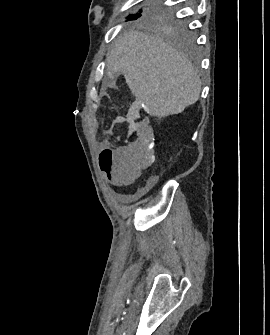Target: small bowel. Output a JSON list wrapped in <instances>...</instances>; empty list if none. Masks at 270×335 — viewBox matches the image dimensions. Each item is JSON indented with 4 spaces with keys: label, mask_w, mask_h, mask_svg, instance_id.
Here are the masks:
<instances>
[{
    "label": "small bowel",
    "mask_w": 270,
    "mask_h": 335,
    "mask_svg": "<svg viewBox=\"0 0 270 335\" xmlns=\"http://www.w3.org/2000/svg\"><path fill=\"white\" fill-rule=\"evenodd\" d=\"M127 134H137L136 145H128L120 149H113V145H100L104 154H94V161L99 165V173L104 178H137L146 165L151 164L149 156H158L159 150L152 149L155 145L153 131L148 119L129 121Z\"/></svg>",
    "instance_id": "1"
}]
</instances>
